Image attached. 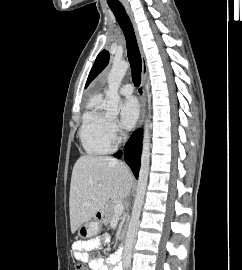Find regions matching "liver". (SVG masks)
<instances>
[{"mask_svg":"<svg viewBox=\"0 0 242 270\" xmlns=\"http://www.w3.org/2000/svg\"><path fill=\"white\" fill-rule=\"evenodd\" d=\"M133 183L128 167L109 156H81L72 171L69 211L71 232L91 220L109 201L127 197ZM100 184V185H99Z\"/></svg>","mask_w":242,"mask_h":270,"instance_id":"1","label":"liver"}]
</instances>
